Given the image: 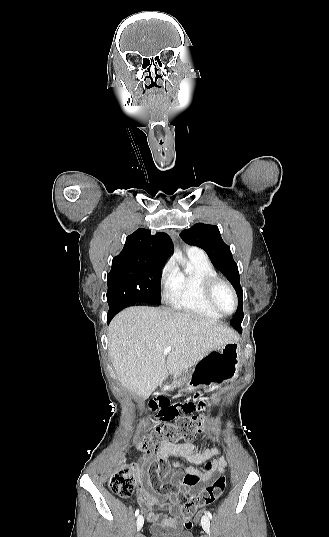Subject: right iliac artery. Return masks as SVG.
I'll return each mask as SVG.
<instances>
[{
  "label": "right iliac artery",
  "instance_id": "1",
  "mask_svg": "<svg viewBox=\"0 0 329 537\" xmlns=\"http://www.w3.org/2000/svg\"><path fill=\"white\" fill-rule=\"evenodd\" d=\"M138 515H139V509H137V510L135 511V516H138Z\"/></svg>",
  "mask_w": 329,
  "mask_h": 537
}]
</instances>
